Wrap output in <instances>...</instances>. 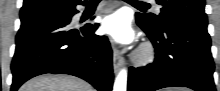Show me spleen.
<instances>
[{"mask_svg": "<svg viewBox=\"0 0 220 91\" xmlns=\"http://www.w3.org/2000/svg\"><path fill=\"white\" fill-rule=\"evenodd\" d=\"M172 91V90H171ZM173 91H181V90H173Z\"/></svg>", "mask_w": 220, "mask_h": 91, "instance_id": "1", "label": "spleen"}]
</instances>
